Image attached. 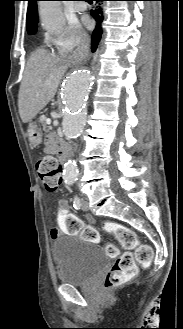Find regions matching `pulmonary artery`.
<instances>
[{
	"label": "pulmonary artery",
	"mask_w": 183,
	"mask_h": 329,
	"mask_svg": "<svg viewBox=\"0 0 183 329\" xmlns=\"http://www.w3.org/2000/svg\"><path fill=\"white\" fill-rule=\"evenodd\" d=\"M75 10L78 13H83L87 10V4L85 3H78L75 5Z\"/></svg>",
	"instance_id": "1"
}]
</instances>
